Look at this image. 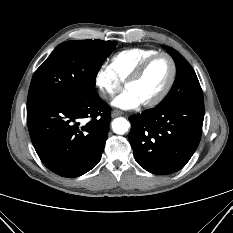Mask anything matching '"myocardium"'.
<instances>
[{"label": "myocardium", "instance_id": "myocardium-1", "mask_svg": "<svg viewBox=\"0 0 233 233\" xmlns=\"http://www.w3.org/2000/svg\"><path fill=\"white\" fill-rule=\"evenodd\" d=\"M160 57H166L170 61L171 68H172L171 76L166 86L164 87V89L155 98L141 103L142 106L145 108H151L161 103L165 99V97L168 95L170 90L172 89L175 83V80H176V76H177V66L172 56L165 52H159L147 58L136 68V70L131 74V76L128 77L126 81L124 82V88H126L128 85L132 83L137 82L143 76V74L145 73L149 65Z\"/></svg>", "mask_w": 233, "mask_h": 233}]
</instances>
